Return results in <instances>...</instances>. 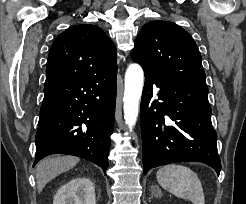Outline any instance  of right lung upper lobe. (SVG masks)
I'll use <instances>...</instances> for the list:
<instances>
[{
	"instance_id": "1",
	"label": "right lung upper lobe",
	"mask_w": 246,
	"mask_h": 204,
	"mask_svg": "<svg viewBox=\"0 0 246 204\" xmlns=\"http://www.w3.org/2000/svg\"><path fill=\"white\" fill-rule=\"evenodd\" d=\"M116 47L95 25H76L57 36L46 68V83L117 71Z\"/></svg>"
}]
</instances>
